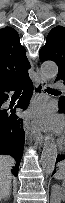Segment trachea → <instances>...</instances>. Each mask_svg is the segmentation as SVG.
<instances>
[{
  "instance_id": "3493384b",
  "label": "trachea",
  "mask_w": 65,
  "mask_h": 203,
  "mask_svg": "<svg viewBox=\"0 0 65 203\" xmlns=\"http://www.w3.org/2000/svg\"><path fill=\"white\" fill-rule=\"evenodd\" d=\"M46 91H55V90L51 88H47Z\"/></svg>"
}]
</instances>
